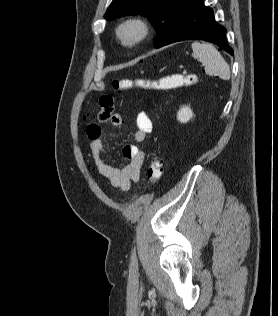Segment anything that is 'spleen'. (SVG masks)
<instances>
[{"instance_id":"spleen-1","label":"spleen","mask_w":278,"mask_h":316,"mask_svg":"<svg viewBox=\"0 0 278 316\" xmlns=\"http://www.w3.org/2000/svg\"><path fill=\"white\" fill-rule=\"evenodd\" d=\"M192 50V56L205 65L206 74L217 75L225 80L230 78L229 65L212 44L194 42Z\"/></svg>"}]
</instances>
